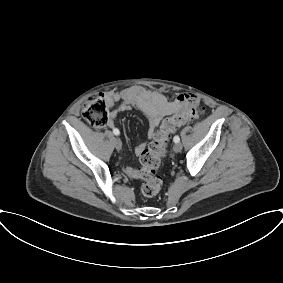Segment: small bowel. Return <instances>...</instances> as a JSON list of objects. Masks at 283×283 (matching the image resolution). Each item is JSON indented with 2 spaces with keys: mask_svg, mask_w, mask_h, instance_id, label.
I'll use <instances>...</instances> for the list:
<instances>
[{
  "mask_svg": "<svg viewBox=\"0 0 283 283\" xmlns=\"http://www.w3.org/2000/svg\"><path fill=\"white\" fill-rule=\"evenodd\" d=\"M105 99L110 107H113L108 121V127L115 126L116 117L120 112L135 108L141 111L148 120V137L153 139L155 131L161 120L181 109L190 101L198 102L197 97L192 94H179L176 99L170 101L158 91L147 90L142 87H130L120 92H108ZM116 103H119L115 106ZM115 106V107H114ZM147 143H140L136 146L135 152L140 155L146 148ZM124 172L132 179L138 177V170L133 167L124 168Z\"/></svg>",
  "mask_w": 283,
  "mask_h": 283,
  "instance_id": "small-bowel-1",
  "label": "small bowel"
}]
</instances>
